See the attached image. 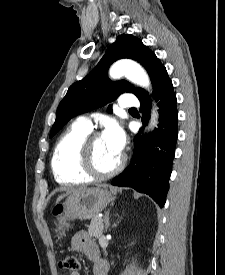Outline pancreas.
Here are the masks:
<instances>
[{"instance_id":"pancreas-1","label":"pancreas","mask_w":225,"mask_h":275,"mask_svg":"<svg viewBox=\"0 0 225 275\" xmlns=\"http://www.w3.org/2000/svg\"><path fill=\"white\" fill-rule=\"evenodd\" d=\"M103 220H101L99 217H93L91 220V223L88 227V233L90 236H93L95 238H100L103 233Z\"/></svg>"}]
</instances>
